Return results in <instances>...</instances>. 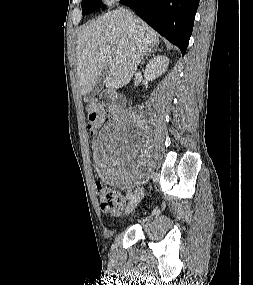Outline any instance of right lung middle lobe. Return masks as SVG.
<instances>
[{
	"label": "right lung middle lobe",
	"mask_w": 253,
	"mask_h": 285,
	"mask_svg": "<svg viewBox=\"0 0 253 285\" xmlns=\"http://www.w3.org/2000/svg\"><path fill=\"white\" fill-rule=\"evenodd\" d=\"M104 7L99 0H82V14L85 15L94 11L96 8Z\"/></svg>",
	"instance_id": "dd1d6c3e"
}]
</instances>
